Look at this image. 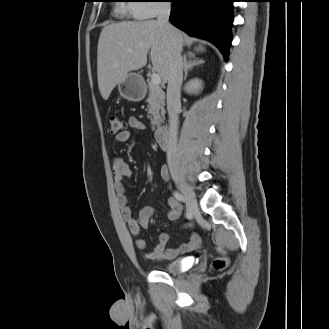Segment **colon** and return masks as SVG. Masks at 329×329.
<instances>
[{
  "mask_svg": "<svg viewBox=\"0 0 329 329\" xmlns=\"http://www.w3.org/2000/svg\"><path fill=\"white\" fill-rule=\"evenodd\" d=\"M110 133L113 135H118L125 130L124 121L117 115H112L109 118ZM189 227L192 225L189 224ZM228 259L226 257H218L213 261V267L216 270H223L228 266Z\"/></svg>",
  "mask_w": 329,
  "mask_h": 329,
  "instance_id": "1",
  "label": "colon"
}]
</instances>
